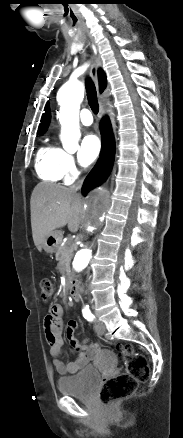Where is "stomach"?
I'll return each mask as SVG.
<instances>
[{
    "label": "stomach",
    "instance_id": "1",
    "mask_svg": "<svg viewBox=\"0 0 183 438\" xmlns=\"http://www.w3.org/2000/svg\"><path fill=\"white\" fill-rule=\"evenodd\" d=\"M62 240V234L59 231H54L49 234L44 243L42 244V248L47 253H54L57 251Z\"/></svg>",
    "mask_w": 183,
    "mask_h": 438
}]
</instances>
